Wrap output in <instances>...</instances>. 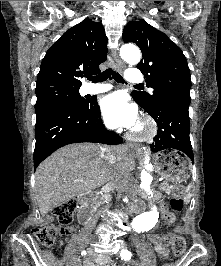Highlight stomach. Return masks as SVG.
Returning <instances> with one entry per match:
<instances>
[{
    "label": "stomach",
    "instance_id": "stomach-1",
    "mask_svg": "<svg viewBox=\"0 0 221 266\" xmlns=\"http://www.w3.org/2000/svg\"><path fill=\"white\" fill-rule=\"evenodd\" d=\"M155 158L157 171L166 181L181 183L190 177L192 164L184 154L175 150L162 151Z\"/></svg>",
    "mask_w": 221,
    "mask_h": 266
}]
</instances>
